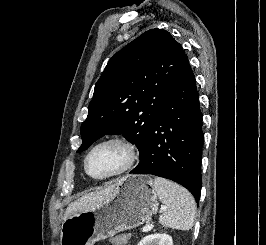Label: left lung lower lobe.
Returning <instances> with one entry per match:
<instances>
[{
    "label": "left lung lower lobe",
    "instance_id": "obj_1",
    "mask_svg": "<svg viewBox=\"0 0 266 245\" xmlns=\"http://www.w3.org/2000/svg\"><path fill=\"white\" fill-rule=\"evenodd\" d=\"M196 81L189 62L154 118L140 163L130 173L170 179L199 202L204 135Z\"/></svg>",
    "mask_w": 266,
    "mask_h": 245
}]
</instances>
